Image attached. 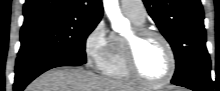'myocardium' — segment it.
<instances>
[{"instance_id": "myocardium-1", "label": "myocardium", "mask_w": 220, "mask_h": 91, "mask_svg": "<svg viewBox=\"0 0 220 91\" xmlns=\"http://www.w3.org/2000/svg\"><path fill=\"white\" fill-rule=\"evenodd\" d=\"M150 37H155L159 39L165 46L169 56V71L167 75L160 80H149L145 78L140 72L137 64V46L141 41ZM124 45L127 70L134 80L144 86L159 87L167 84L173 78L177 67L176 55L171 43L162 33L151 28L136 26L133 28L132 32L125 38Z\"/></svg>"}]
</instances>
